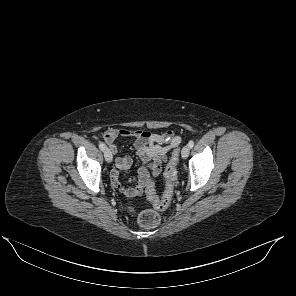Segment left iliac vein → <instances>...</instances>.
<instances>
[{
    "label": "left iliac vein",
    "instance_id": "left-iliac-vein-1",
    "mask_svg": "<svg viewBox=\"0 0 296 296\" xmlns=\"http://www.w3.org/2000/svg\"><path fill=\"white\" fill-rule=\"evenodd\" d=\"M190 153V147L188 145L184 146L181 151V156L183 159H186Z\"/></svg>",
    "mask_w": 296,
    "mask_h": 296
}]
</instances>
